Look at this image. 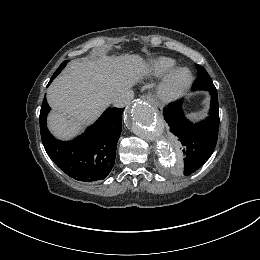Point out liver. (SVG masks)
Returning a JSON list of instances; mask_svg holds the SVG:
<instances>
[{
  "label": "liver",
  "mask_w": 260,
  "mask_h": 260,
  "mask_svg": "<svg viewBox=\"0 0 260 260\" xmlns=\"http://www.w3.org/2000/svg\"><path fill=\"white\" fill-rule=\"evenodd\" d=\"M148 73L138 54L106 56L94 60H73L47 91L52 108L48 116L51 133L69 140L83 125L93 123L118 93L130 89Z\"/></svg>",
  "instance_id": "1"
}]
</instances>
